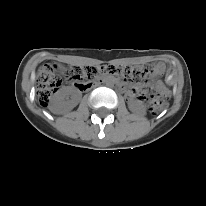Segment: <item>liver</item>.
<instances>
[{
	"mask_svg": "<svg viewBox=\"0 0 206 206\" xmlns=\"http://www.w3.org/2000/svg\"><path fill=\"white\" fill-rule=\"evenodd\" d=\"M53 113H55V114H60L61 112H57V111H53V110H51Z\"/></svg>",
	"mask_w": 206,
	"mask_h": 206,
	"instance_id": "obj_1",
	"label": "liver"
}]
</instances>
